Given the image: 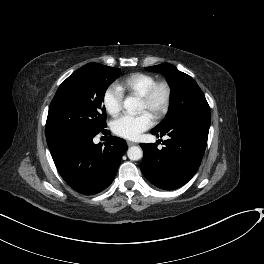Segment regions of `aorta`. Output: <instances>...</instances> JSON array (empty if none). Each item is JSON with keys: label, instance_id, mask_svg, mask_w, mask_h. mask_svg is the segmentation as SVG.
Here are the masks:
<instances>
[{"label": "aorta", "instance_id": "obj_1", "mask_svg": "<svg viewBox=\"0 0 264 264\" xmlns=\"http://www.w3.org/2000/svg\"><path fill=\"white\" fill-rule=\"evenodd\" d=\"M124 108L130 115H135L141 111L140 100L137 97H127L124 100ZM142 149L138 146H132L128 149L127 155L130 160L137 161L142 157Z\"/></svg>", "mask_w": 264, "mask_h": 264}]
</instances>
